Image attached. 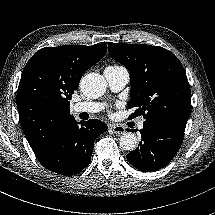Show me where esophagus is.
<instances>
[{
    "instance_id": "34e87169",
    "label": "esophagus",
    "mask_w": 215,
    "mask_h": 215,
    "mask_svg": "<svg viewBox=\"0 0 215 215\" xmlns=\"http://www.w3.org/2000/svg\"><path fill=\"white\" fill-rule=\"evenodd\" d=\"M109 128L114 134L122 135L126 132V129L124 126L117 125V124H110Z\"/></svg>"
}]
</instances>
